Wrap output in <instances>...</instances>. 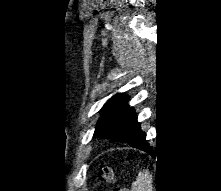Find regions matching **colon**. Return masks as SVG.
<instances>
[{
	"label": "colon",
	"mask_w": 221,
	"mask_h": 191,
	"mask_svg": "<svg viewBox=\"0 0 221 191\" xmlns=\"http://www.w3.org/2000/svg\"><path fill=\"white\" fill-rule=\"evenodd\" d=\"M98 177L102 183H110L114 180L115 174L110 167H104L100 170ZM114 191H127V190L117 188Z\"/></svg>",
	"instance_id": "1"
}]
</instances>
